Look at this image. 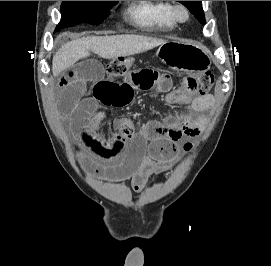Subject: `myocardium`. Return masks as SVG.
I'll use <instances>...</instances> for the list:
<instances>
[{"mask_svg":"<svg viewBox=\"0 0 271 266\" xmlns=\"http://www.w3.org/2000/svg\"><path fill=\"white\" fill-rule=\"evenodd\" d=\"M172 15L177 22L184 23L190 18V10L187 5L178 2L172 5Z\"/></svg>","mask_w":271,"mask_h":266,"instance_id":"obj_1","label":"myocardium"}]
</instances>
